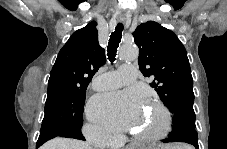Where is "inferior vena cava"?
Segmentation results:
<instances>
[{"mask_svg":"<svg viewBox=\"0 0 227 149\" xmlns=\"http://www.w3.org/2000/svg\"><path fill=\"white\" fill-rule=\"evenodd\" d=\"M101 137H104V135L101 133V132H95L94 134H93V139H99V138H101Z\"/></svg>","mask_w":227,"mask_h":149,"instance_id":"inferior-vena-cava-1","label":"inferior vena cava"}]
</instances>
